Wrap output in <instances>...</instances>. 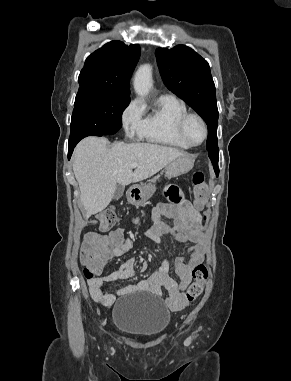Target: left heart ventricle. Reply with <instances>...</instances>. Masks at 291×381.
<instances>
[{
	"mask_svg": "<svg viewBox=\"0 0 291 381\" xmlns=\"http://www.w3.org/2000/svg\"><path fill=\"white\" fill-rule=\"evenodd\" d=\"M186 129H187L188 136L193 142L198 143L202 140L203 128L201 123L197 119L195 118L190 119L187 122Z\"/></svg>",
	"mask_w": 291,
	"mask_h": 381,
	"instance_id": "obj_1",
	"label": "left heart ventricle"
}]
</instances>
